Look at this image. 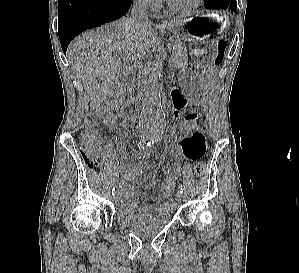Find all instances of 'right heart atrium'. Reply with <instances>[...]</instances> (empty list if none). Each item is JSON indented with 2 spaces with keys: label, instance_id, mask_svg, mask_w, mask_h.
I'll use <instances>...</instances> for the list:
<instances>
[{
  "label": "right heart atrium",
  "instance_id": "d8ad5b80",
  "mask_svg": "<svg viewBox=\"0 0 299 273\" xmlns=\"http://www.w3.org/2000/svg\"><path fill=\"white\" fill-rule=\"evenodd\" d=\"M135 2L144 9H152L158 5L159 0H135Z\"/></svg>",
  "mask_w": 299,
  "mask_h": 273
}]
</instances>
